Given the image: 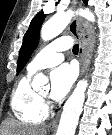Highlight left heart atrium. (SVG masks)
<instances>
[{
	"label": "left heart atrium",
	"instance_id": "39dd6f15",
	"mask_svg": "<svg viewBox=\"0 0 112 135\" xmlns=\"http://www.w3.org/2000/svg\"><path fill=\"white\" fill-rule=\"evenodd\" d=\"M77 76V71L70 64H62L51 73L50 96L54 100L63 99L71 89Z\"/></svg>",
	"mask_w": 112,
	"mask_h": 135
}]
</instances>
